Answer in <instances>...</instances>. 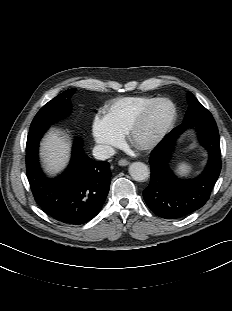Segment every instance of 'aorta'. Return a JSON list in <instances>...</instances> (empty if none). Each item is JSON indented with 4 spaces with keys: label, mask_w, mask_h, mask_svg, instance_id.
Listing matches in <instances>:
<instances>
[{
    "label": "aorta",
    "mask_w": 232,
    "mask_h": 311,
    "mask_svg": "<svg viewBox=\"0 0 232 311\" xmlns=\"http://www.w3.org/2000/svg\"><path fill=\"white\" fill-rule=\"evenodd\" d=\"M129 174L136 181H144L149 177V168L143 162H134L129 166Z\"/></svg>",
    "instance_id": "aorta-1"
}]
</instances>
